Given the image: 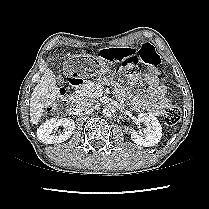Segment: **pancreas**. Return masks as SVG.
I'll list each match as a JSON object with an SVG mask.
<instances>
[{
  "label": "pancreas",
  "instance_id": "1",
  "mask_svg": "<svg viewBox=\"0 0 209 209\" xmlns=\"http://www.w3.org/2000/svg\"><path fill=\"white\" fill-rule=\"evenodd\" d=\"M99 83L89 81L85 85V88L81 91L82 97L98 98L102 95V92L97 89Z\"/></svg>",
  "mask_w": 209,
  "mask_h": 209
}]
</instances>
